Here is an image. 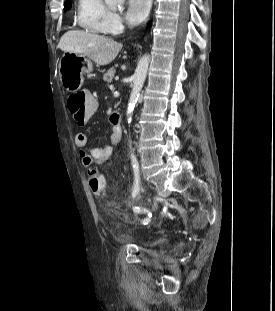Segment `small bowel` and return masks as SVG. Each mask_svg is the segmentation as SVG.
Instances as JSON below:
<instances>
[{"label":"small bowel","mask_w":275,"mask_h":311,"mask_svg":"<svg viewBox=\"0 0 275 311\" xmlns=\"http://www.w3.org/2000/svg\"><path fill=\"white\" fill-rule=\"evenodd\" d=\"M97 111V106H96ZM109 126H112L110 139L102 147H91L88 150H83L80 153L81 161L83 166L91 167L95 165H101L110 160L114 147L120 142L122 138V128L120 126V119H109ZM88 140L87 136L83 132H78L75 135V145L78 148H87Z\"/></svg>","instance_id":"c3829d8e"}]
</instances>
